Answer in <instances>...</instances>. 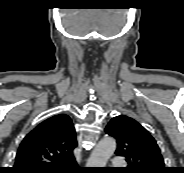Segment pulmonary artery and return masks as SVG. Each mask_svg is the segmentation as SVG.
Here are the masks:
<instances>
[{"label":"pulmonary artery","mask_w":184,"mask_h":173,"mask_svg":"<svg viewBox=\"0 0 184 173\" xmlns=\"http://www.w3.org/2000/svg\"><path fill=\"white\" fill-rule=\"evenodd\" d=\"M112 165L113 166H116V167H122L124 165V162H123L122 158L115 157L112 160Z\"/></svg>","instance_id":"obj_1"}]
</instances>
